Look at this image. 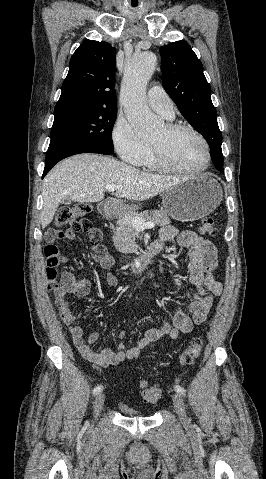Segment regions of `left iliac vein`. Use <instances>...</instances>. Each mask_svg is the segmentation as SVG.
<instances>
[{
  "mask_svg": "<svg viewBox=\"0 0 266 479\" xmlns=\"http://www.w3.org/2000/svg\"><path fill=\"white\" fill-rule=\"evenodd\" d=\"M172 400H173L174 408L176 410V413H177L181 423L184 426H189L190 425V420L187 417L182 396L179 393H175V394L172 395Z\"/></svg>",
  "mask_w": 266,
  "mask_h": 479,
  "instance_id": "obj_1",
  "label": "left iliac vein"
}]
</instances>
